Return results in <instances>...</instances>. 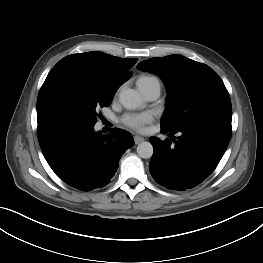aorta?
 Wrapping results in <instances>:
<instances>
[{
    "label": "aorta",
    "mask_w": 263,
    "mask_h": 263,
    "mask_svg": "<svg viewBox=\"0 0 263 263\" xmlns=\"http://www.w3.org/2000/svg\"><path fill=\"white\" fill-rule=\"evenodd\" d=\"M120 103L127 109H136L142 104L141 95L133 89H126L119 95ZM153 146L149 142H141L137 146V154L144 159L151 158L153 155Z\"/></svg>",
    "instance_id": "762f6f07"
}]
</instances>
